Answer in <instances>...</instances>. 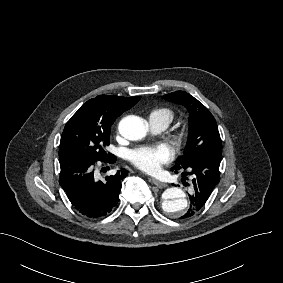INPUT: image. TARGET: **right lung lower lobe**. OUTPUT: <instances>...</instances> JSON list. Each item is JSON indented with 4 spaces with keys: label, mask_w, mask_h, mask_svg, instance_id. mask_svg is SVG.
<instances>
[{
    "label": "right lung lower lobe",
    "mask_w": 283,
    "mask_h": 283,
    "mask_svg": "<svg viewBox=\"0 0 283 283\" xmlns=\"http://www.w3.org/2000/svg\"><path fill=\"white\" fill-rule=\"evenodd\" d=\"M99 161L111 164L116 161V157L110 154L105 160H94L84 154H72L60 158L59 183L73 208L89 219L102 218L114 209L122 180L128 173L121 169L115 175L106 176L105 181H97L93 168Z\"/></svg>",
    "instance_id": "right-lung-lower-lobe-1"
}]
</instances>
